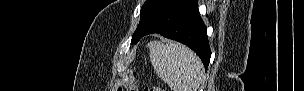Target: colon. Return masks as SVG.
Instances as JSON below:
<instances>
[{
	"label": "colon",
	"mask_w": 304,
	"mask_h": 91,
	"mask_svg": "<svg viewBox=\"0 0 304 91\" xmlns=\"http://www.w3.org/2000/svg\"><path fill=\"white\" fill-rule=\"evenodd\" d=\"M118 90L123 91V90H136V88L133 87H125V88H119ZM145 91H163L161 87L159 86H147L145 88Z\"/></svg>",
	"instance_id": "obj_1"
}]
</instances>
